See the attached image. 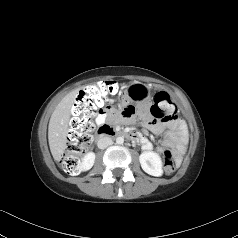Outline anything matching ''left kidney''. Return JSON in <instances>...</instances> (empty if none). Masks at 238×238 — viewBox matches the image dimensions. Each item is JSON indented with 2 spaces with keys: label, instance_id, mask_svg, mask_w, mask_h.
<instances>
[{
  "label": "left kidney",
  "instance_id": "obj_1",
  "mask_svg": "<svg viewBox=\"0 0 238 238\" xmlns=\"http://www.w3.org/2000/svg\"><path fill=\"white\" fill-rule=\"evenodd\" d=\"M139 161L142 169L149 175L159 177L163 174L162 161L157 153L153 151L143 152L139 156Z\"/></svg>",
  "mask_w": 238,
  "mask_h": 238
}]
</instances>
